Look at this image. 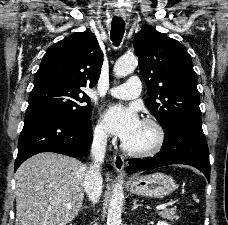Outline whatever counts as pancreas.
<instances>
[{
  "label": "pancreas",
  "instance_id": "1",
  "mask_svg": "<svg viewBox=\"0 0 228 225\" xmlns=\"http://www.w3.org/2000/svg\"><path fill=\"white\" fill-rule=\"evenodd\" d=\"M159 215H161L163 219H168V221L179 219L178 215H176V209H163V211H160Z\"/></svg>",
  "mask_w": 228,
  "mask_h": 225
}]
</instances>
